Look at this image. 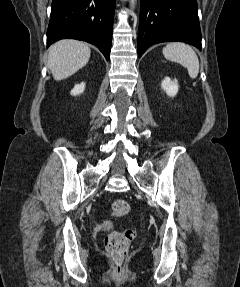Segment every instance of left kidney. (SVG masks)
<instances>
[{
    "mask_svg": "<svg viewBox=\"0 0 240 287\" xmlns=\"http://www.w3.org/2000/svg\"><path fill=\"white\" fill-rule=\"evenodd\" d=\"M161 88L169 97H174L178 93L179 85L176 79L171 80L169 77H165L161 83Z\"/></svg>",
    "mask_w": 240,
    "mask_h": 287,
    "instance_id": "obj_1",
    "label": "left kidney"
}]
</instances>
